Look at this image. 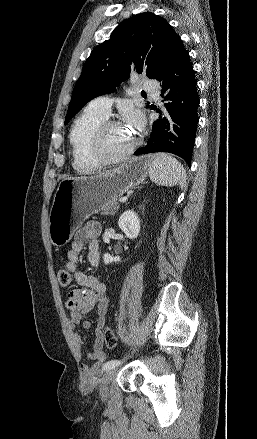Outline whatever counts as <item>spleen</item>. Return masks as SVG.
Returning a JSON list of instances; mask_svg holds the SVG:
<instances>
[{
	"instance_id": "3e777b00",
	"label": "spleen",
	"mask_w": 257,
	"mask_h": 439,
	"mask_svg": "<svg viewBox=\"0 0 257 439\" xmlns=\"http://www.w3.org/2000/svg\"><path fill=\"white\" fill-rule=\"evenodd\" d=\"M150 179L157 185L183 188L186 183V171L177 159L166 153L151 156Z\"/></svg>"
}]
</instances>
